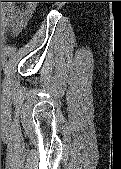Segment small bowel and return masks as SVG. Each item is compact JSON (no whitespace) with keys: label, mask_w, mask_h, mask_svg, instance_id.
<instances>
[{"label":"small bowel","mask_w":121,"mask_h":169,"mask_svg":"<svg viewBox=\"0 0 121 169\" xmlns=\"http://www.w3.org/2000/svg\"><path fill=\"white\" fill-rule=\"evenodd\" d=\"M33 14V8L27 7L23 10H14L7 14L8 26L13 32V36H17L25 28L28 20Z\"/></svg>","instance_id":"1"}]
</instances>
